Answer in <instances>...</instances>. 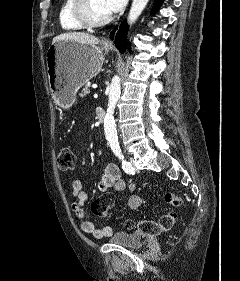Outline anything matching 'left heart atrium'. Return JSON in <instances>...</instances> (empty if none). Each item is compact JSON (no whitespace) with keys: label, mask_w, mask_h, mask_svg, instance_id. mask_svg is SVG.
Instances as JSON below:
<instances>
[{"label":"left heart atrium","mask_w":240,"mask_h":281,"mask_svg":"<svg viewBox=\"0 0 240 281\" xmlns=\"http://www.w3.org/2000/svg\"><path fill=\"white\" fill-rule=\"evenodd\" d=\"M128 0H105V6L109 13L118 12L122 10Z\"/></svg>","instance_id":"1"}]
</instances>
